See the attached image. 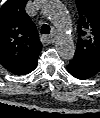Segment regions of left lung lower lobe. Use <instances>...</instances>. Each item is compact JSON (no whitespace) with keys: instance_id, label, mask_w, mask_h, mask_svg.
Here are the masks:
<instances>
[{"instance_id":"1","label":"left lung lower lobe","mask_w":100,"mask_h":118,"mask_svg":"<svg viewBox=\"0 0 100 118\" xmlns=\"http://www.w3.org/2000/svg\"><path fill=\"white\" fill-rule=\"evenodd\" d=\"M67 71L75 78L81 79V80H86L94 75L97 74V72L93 69H90L86 66H83L73 60L69 62L67 65Z\"/></svg>"}]
</instances>
